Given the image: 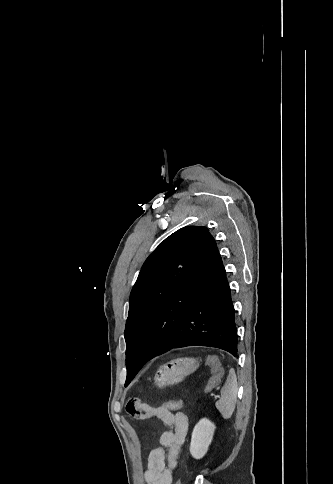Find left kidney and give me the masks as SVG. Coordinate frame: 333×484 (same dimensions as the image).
Returning <instances> with one entry per match:
<instances>
[{"label": "left kidney", "instance_id": "5707ae66", "mask_svg": "<svg viewBox=\"0 0 333 484\" xmlns=\"http://www.w3.org/2000/svg\"><path fill=\"white\" fill-rule=\"evenodd\" d=\"M215 425L204 418L201 419L194 427L190 443V453L195 459L204 457L208 447L212 442Z\"/></svg>", "mask_w": 333, "mask_h": 484}]
</instances>
